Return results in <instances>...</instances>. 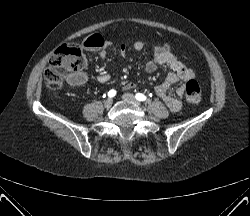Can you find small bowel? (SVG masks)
I'll use <instances>...</instances> for the list:
<instances>
[{
    "label": "small bowel",
    "instance_id": "1",
    "mask_svg": "<svg viewBox=\"0 0 250 216\" xmlns=\"http://www.w3.org/2000/svg\"><path fill=\"white\" fill-rule=\"evenodd\" d=\"M83 46L90 51H99L100 57L104 58L107 55L109 43L106 42L99 34H93L87 37ZM144 47L142 42H136L134 48L141 50ZM120 55L126 54V47L121 44L118 46ZM153 59L150 60L145 69L147 72H153L159 66H167L169 69V75L164 82L155 87V93L164 101L167 107L172 112H178L181 108V101L168 94V90L177 82L181 84L176 88L177 96L181 97L185 93L186 83L194 78V73L191 69L187 68L176 54L162 49L160 46H155ZM99 83L111 82V77L107 74H101L96 77ZM87 81V75L83 72L74 74L68 79V82L73 86H82ZM133 84H127L126 88H132Z\"/></svg>",
    "mask_w": 250,
    "mask_h": 216
}]
</instances>
